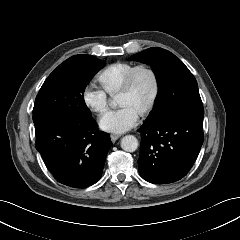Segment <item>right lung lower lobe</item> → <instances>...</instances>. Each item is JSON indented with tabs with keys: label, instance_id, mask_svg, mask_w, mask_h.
Listing matches in <instances>:
<instances>
[{
	"label": "right lung lower lobe",
	"instance_id": "obj_1",
	"mask_svg": "<svg viewBox=\"0 0 240 240\" xmlns=\"http://www.w3.org/2000/svg\"><path fill=\"white\" fill-rule=\"evenodd\" d=\"M33 122L36 149L59 183L86 188L100 179L112 142L92 117L39 113Z\"/></svg>",
	"mask_w": 240,
	"mask_h": 240
}]
</instances>
